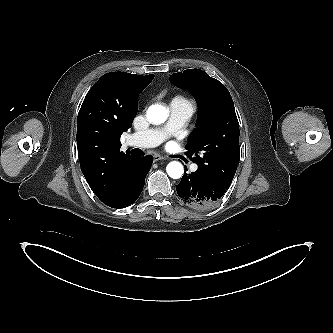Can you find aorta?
I'll return each mask as SVG.
<instances>
[{"mask_svg":"<svg viewBox=\"0 0 333 333\" xmlns=\"http://www.w3.org/2000/svg\"><path fill=\"white\" fill-rule=\"evenodd\" d=\"M168 111L162 105H151L147 110V118L155 124L164 123L168 118ZM167 174L173 178L178 179L182 177L184 173L183 165L178 161L170 162L166 167Z\"/></svg>","mask_w":333,"mask_h":333,"instance_id":"762f6f07","label":"aorta"}]
</instances>
